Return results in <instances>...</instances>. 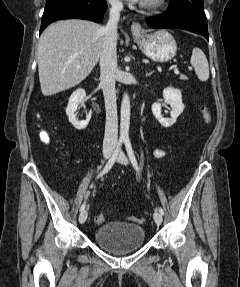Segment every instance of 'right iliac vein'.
<instances>
[{
    "instance_id": "63e3f726",
    "label": "right iliac vein",
    "mask_w": 240,
    "mask_h": 287,
    "mask_svg": "<svg viewBox=\"0 0 240 287\" xmlns=\"http://www.w3.org/2000/svg\"><path fill=\"white\" fill-rule=\"evenodd\" d=\"M112 152H113V150H112L111 148L105 149L104 152H103L104 158H105L106 160H108V159L111 157ZM87 215H88V213H87L86 210H83V211L80 213V215H79V222H80L81 224H83V223L86 221Z\"/></svg>"
}]
</instances>
